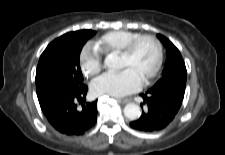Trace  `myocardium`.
<instances>
[{
	"mask_svg": "<svg viewBox=\"0 0 225 155\" xmlns=\"http://www.w3.org/2000/svg\"><path fill=\"white\" fill-rule=\"evenodd\" d=\"M143 40H150L156 48V60H155L154 67H153L152 71L143 80L144 83H147L157 76V74H158V72L161 68V65H162L163 47H162V44L159 41V39L157 37H155L154 35H151V34H140V35L136 36L135 38H133L120 51V55L131 56L134 53L137 45Z\"/></svg>",
	"mask_w": 225,
	"mask_h": 155,
	"instance_id": "1",
	"label": "myocardium"
}]
</instances>
